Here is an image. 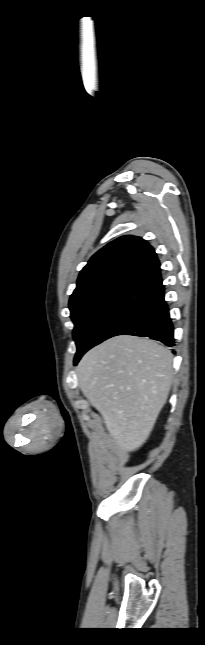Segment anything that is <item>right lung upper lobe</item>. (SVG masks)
Instances as JSON below:
<instances>
[{"label": "right lung upper lobe", "instance_id": "1", "mask_svg": "<svg viewBox=\"0 0 205 645\" xmlns=\"http://www.w3.org/2000/svg\"><path fill=\"white\" fill-rule=\"evenodd\" d=\"M161 281L154 249L140 237L123 236L92 256L79 274L69 305L121 287L150 290Z\"/></svg>", "mask_w": 205, "mask_h": 645}]
</instances>
